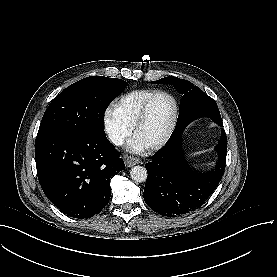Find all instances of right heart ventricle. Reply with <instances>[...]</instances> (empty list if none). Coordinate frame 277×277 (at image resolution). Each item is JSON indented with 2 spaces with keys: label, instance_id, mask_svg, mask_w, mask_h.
I'll return each mask as SVG.
<instances>
[{
  "label": "right heart ventricle",
  "instance_id": "obj_1",
  "mask_svg": "<svg viewBox=\"0 0 277 277\" xmlns=\"http://www.w3.org/2000/svg\"><path fill=\"white\" fill-rule=\"evenodd\" d=\"M152 94L153 91L150 90H137L128 93L116 103V110L127 123L131 124L138 117Z\"/></svg>",
  "mask_w": 277,
  "mask_h": 277
}]
</instances>
